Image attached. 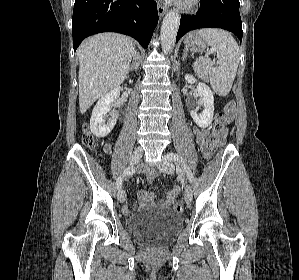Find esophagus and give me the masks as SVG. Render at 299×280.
I'll use <instances>...</instances> for the list:
<instances>
[{"label": "esophagus", "mask_w": 299, "mask_h": 280, "mask_svg": "<svg viewBox=\"0 0 299 280\" xmlns=\"http://www.w3.org/2000/svg\"><path fill=\"white\" fill-rule=\"evenodd\" d=\"M167 9L162 4H158V14L162 17L166 13Z\"/></svg>", "instance_id": "1"}]
</instances>
